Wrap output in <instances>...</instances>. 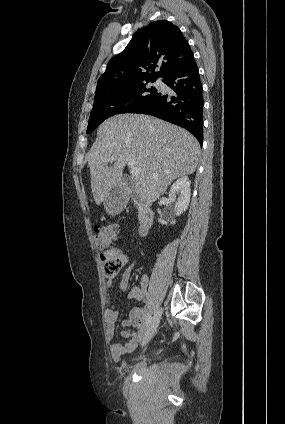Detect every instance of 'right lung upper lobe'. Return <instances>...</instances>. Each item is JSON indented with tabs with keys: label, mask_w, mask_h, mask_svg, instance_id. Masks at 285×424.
Here are the masks:
<instances>
[{
	"label": "right lung upper lobe",
	"mask_w": 285,
	"mask_h": 424,
	"mask_svg": "<svg viewBox=\"0 0 285 424\" xmlns=\"http://www.w3.org/2000/svg\"><path fill=\"white\" fill-rule=\"evenodd\" d=\"M194 58L180 29L166 20L139 29L126 48L112 58L96 90L126 83L156 80L182 68ZM160 70L155 72V68Z\"/></svg>",
	"instance_id": "1"
}]
</instances>
